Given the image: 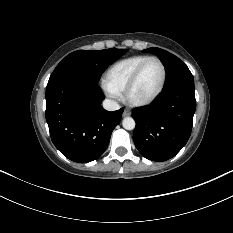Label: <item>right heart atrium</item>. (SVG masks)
I'll return each instance as SVG.
<instances>
[{"label": "right heart atrium", "mask_w": 233, "mask_h": 233, "mask_svg": "<svg viewBox=\"0 0 233 233\" xmlns=\"http://www.w3.org/2000/svg\"><path fill=\"white\" fill-rule=\"evenodd\" d=\"M103 89L107 96L113 98V99H119L120 98V93L109 87L105 82L103 84Z\"/></svg>", "instance_id": "d8ad5b80"}]
</instances>
